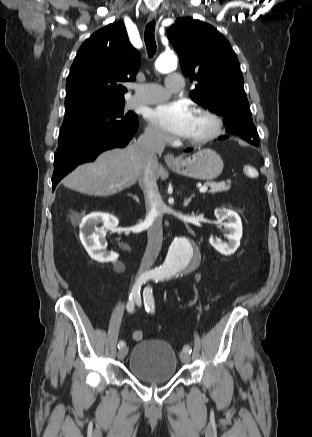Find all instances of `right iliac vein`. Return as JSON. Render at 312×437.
<instances>
[{"label":"right iliac vein","instance_id":"obj_1","mask_svg":"<svg viewBox=\"0 0 312 437\" xmlns=\"http://www.w3.org/2000/svg\"><path fill=\"white\" fill-rule=\"evenodd\" d=\"M127 352H128V348L126 346L120 348V350L118 351V359L123 360L126 357Z\"/></svg>","mask_w":312,"mask_h":437}]
</instances>
